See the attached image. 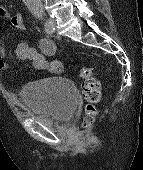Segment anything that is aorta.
<instances>
[{"mask_svg": "<svg viewBox=\"0 0 143 170\" xmlns=\"http://www.w3.org/2000/svg\"><path fill=\"white\" fill-rule=\"evenodd\" d=\"M26 7L34 14L40 15L43 11L42 0H24Z\"/></svg>", "mask_w": 143, "mask_h": 170, "instance_id": "aorta-1", "label": "aorta"}]
</instances>
